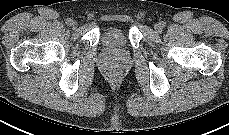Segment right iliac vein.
<instances>
[{"label":"right iliac vein","instance_id":"63e3f726","mask_svg":"<svg viewBox=\"0 0 229 135\" xmlns=\"http://www.w3.org/2000/svg\"><path fill=\"white\" fill-rule=\"evenodd\" d=\"M77 25H78V23H77L76 21H73V20L71 21L70 26H71L72 28H76Z\"/></svg>","mask_w":229,"mask_h":135}]
</instances>
